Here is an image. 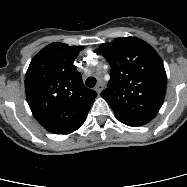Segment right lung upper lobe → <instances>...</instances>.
I'll list each match as a JSON object with an SVG mask.
<instances>
[{
	"label": "right lung upper lobe",
	"instance_id": "cb5924a9",
	"mask_svg": "<svg viewBox=\"0 0 187 187\" xmlns=\"http://www.w3.org/2000/svg\"><path fill=\"white\" fill-rule=\"evenodd\" d=\"M83 46L52 43L31 61L25 76L29 107L53 134H69L85 121L97 93L82 83L73 65Z\"/></svg>",
	"mask_w": 187,
	"mask_h": 187
}]
</instances>
